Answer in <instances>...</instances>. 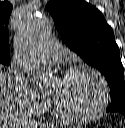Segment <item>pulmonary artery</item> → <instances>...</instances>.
<instances>
[{
    "label": "pulmonary artery",
    "mask_w": 125,
    "mask_h": 128,
    "mask_svg": "<svg viewBox=\"0 0 125 128\" xmlns=\"http://www.w3.org/2000/svg\"><path fill=\"white\" fill-rule=\"evenodd\" d=\"M64 53L65 50L61 45L52 42L43 44L39 49L40 58L46 62H57Z\"/></svg>",
    "instance_id": "pulmonary-artery-1"
}]
</instances>
